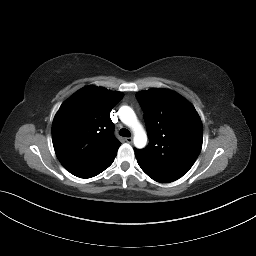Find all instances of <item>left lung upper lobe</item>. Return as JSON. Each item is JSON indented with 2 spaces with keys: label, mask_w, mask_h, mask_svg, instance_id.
Returning <instances> with one entry per match:
<instances>
[{
  "label": "left lung upper lobe",
  "mask_w": 256,
  "mask_h": 256,
  "mask_svg": "<svg viewBox=\"0 0 256 256\" xmlns=\"http://www.w3.org/2000/svg\"><path fill=\"white\" fill-rule=\"evenodd\" d=\"M136 97L144 111L149 145L135 156L149 173L179 179L198 157L203 139L201 119L181 95L168 89L141 91Z\"/></svg>",
  "instance_id": "5c2ea615"
}]
</instances>
